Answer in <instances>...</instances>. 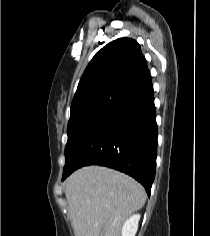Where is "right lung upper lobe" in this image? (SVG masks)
<instances>
[{
    "instance_id": "right-lung-upper-lobe-1",
    "label": "right lung upper lobe",
    "mask_w": 210,
    "mask_h": 236,
    "mask_svg": "<svg viewBox=\"0 0 210 236\" xmlns=\"http://www.w3.org/2000/svg\"><path fill=\"white\" fill-rule=\"evenodd\" d=\"M151 78L140 45L133 39L119 38L104 46L85 69L71 107L114 89L130 91Z\"/></svg>"
}]
</instances>
